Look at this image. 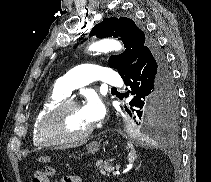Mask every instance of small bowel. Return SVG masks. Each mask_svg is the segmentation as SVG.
I'll return each instance as SVG.
<instances>
[{
    "label": "small bowel",
    "mask_w": 211,
    "mask_h": 182,
    "mask_svg": "<svg viewBox=\"0 0 211 182\" xmlns=\"http://www.w3.org/2000/svg\"><path fill=\"white\" fill-rule=\"evenodd\" d=\"M62 182H82V180L77 176H69L64 178Z\"/></svg>",
    "instance_id": "1"
}]
</instances>
